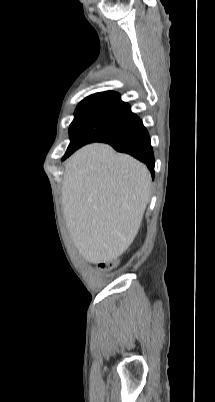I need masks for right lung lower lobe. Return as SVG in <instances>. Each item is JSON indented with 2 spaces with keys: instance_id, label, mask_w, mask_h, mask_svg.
<instances>
[{
  "instance_id": "1",
  "label": "right lung lower lobe",
  "mask_w": 215,
  "mask_h": 402,
  "mask_svg": "<svg viewBox=\"0 0 215 402\" xmlns=\"http://www.w3.org/2000/svg\"><path fill=\"white\" fill-rule=\"evenodd\" d=\"M106 143L110 144L115 150L128 153L145 163L150 170L152 177L154 178L155 160L150 143V137L140 119L126 131H124L120 136L114 140L107 141ZM78 148L65 154L63 159L70 156Z\"/></svg>"
}]
</instances>
